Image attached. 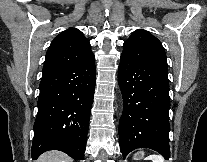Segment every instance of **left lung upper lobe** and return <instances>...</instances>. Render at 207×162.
<instances>
[{
  "label": "left lung upper lobe",
  "instance_id": "left-lung-upper-lobe-1",
  "mask_svg": "<svg viewBox=\"0 0 207 162\" xmlns=\"http://www.w3.org/2000/svg\"><path fill=\"white\" fill-rule=\"evenodd\" d=\"M123 47L121 56L168 70L164 48L149 32L142 29L134 31Z\"/></svg>",
  "mask_w": 207,
  "mask_h": 162
}]
</instances>
